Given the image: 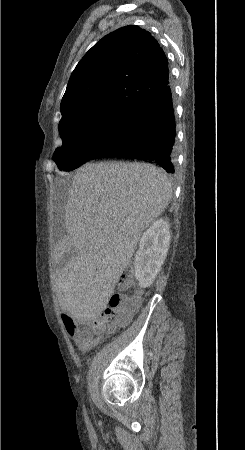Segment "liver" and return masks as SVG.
Wrapping results in <instances>:
<instances>
[{
    "label": "liver",
    "instance_id": "liver-1",
    "mask_svg": "<svg viewBox=\"0 0 245 450\" xmlns=\"http://www.w3.org/2000/svg\"><path fill=\"white\" fill-rule=\"evenodd\" d=\"M171 195L166 174L151 164L99 162L79 169L65 209L68 236L54 250L55 287L65 312L91 319L107 307L142 232Z\"/></svg>",
    "mask_w": 245,
    "mask_h": 450
}]
</instances>
